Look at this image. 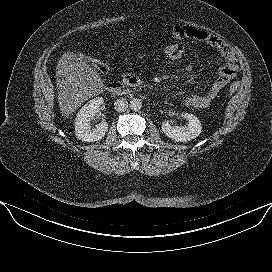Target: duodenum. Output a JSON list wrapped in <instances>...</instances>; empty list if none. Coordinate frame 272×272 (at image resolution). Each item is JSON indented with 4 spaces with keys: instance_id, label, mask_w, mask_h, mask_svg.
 <instances>
[{
    "instance_id": "duodenum-1",
    "label": "duodenum",
    "mask_w": 272,
    "mask_h": 272,
    "mask_svg": "<svg viewBox=\"0 0 272 272\" xmlns=\"http://www.w3.org/2000/svg\"><path fill=\"white\" fill-rule=\"evenodd\" d=\"M141 86L139 79L136 76L126 75L119 81L111 82L107 89L109 92L117 95L128 94L132 88Z\"/></svg>"
}]
</instances>
